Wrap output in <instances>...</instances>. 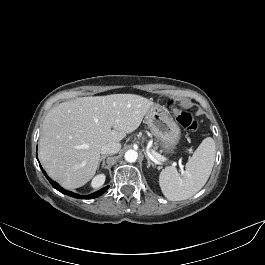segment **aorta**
Instances as JSON below:
<instances>
[{
  "label": "aorta",
  "instance_id": "1",
  "mask_svg": "<svg viewBox=\"0 0 265 265\" xmlns=\"http://www.w3.org/2000/svg\"><path fill=\"white\" fill-rule=\"evenodd\" d=\"M125 160L127 161V162H130V163H132V162H135L136 160H137V158H138V153H137V151H135V150H128L126 153H125Z\"/></svg>",
  "mask_w": 265,
  "mask_h": 265
}]
</instances>
